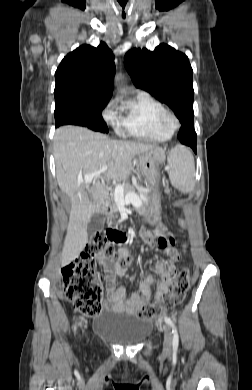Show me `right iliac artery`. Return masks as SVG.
Listing matches in <instances>:
<instances>
[{
  "mask_svg": "<svg viewBox=\"0 0 252 390\" xmlns=\"http://www.w3.org/2000/svg\"><path fill=\"white\" fill-rule=\"evenodd\" d=\"M74 330H76V325L74 326Z\"/></svg>",
  "mask_w": 252,
  "mask_h": 390,
  "instance_id": "1",
  "label": "right iliac artery"
}]
</instances>
